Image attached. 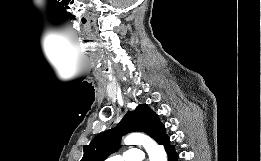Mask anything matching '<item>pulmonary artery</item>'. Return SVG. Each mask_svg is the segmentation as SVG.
<instances>
[{"instance_id":"1","label":"pulmonary artery","mask_w":261,"mask_h":161,"mask_svg":"<svg viewBox=\"0 0 261 161\" xmlns=\"http://www.w3.org/2000/svg\"><path fill=\"white\" fill-rule=\"evenodd\" d=\"M133 153V156H129V154ZM142 156L140 153H135V151H129L124 155H113L108 157L105 161H141Z\"/></svg>"}]
</instances>
